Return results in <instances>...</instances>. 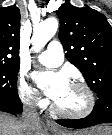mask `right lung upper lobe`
Returning <instances> with one entry per match:
<instances>
[{
	"label": "right lung upper lobe",
	"mask_w": 112,
	"mask_h": 135,
	"mask_svg": "<svg viewBox=\"0 0 112 135\" xmlns=\"http://www.w3.org/2000/svg\"><path fill=\"white\" fill-rule=\"evenodd\" d=\"M20 10L0 8V63L19 62Z\"/></svg>",
	"instance_id": "cb5924a9"
}]
</instances>
